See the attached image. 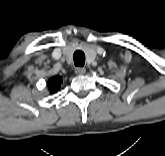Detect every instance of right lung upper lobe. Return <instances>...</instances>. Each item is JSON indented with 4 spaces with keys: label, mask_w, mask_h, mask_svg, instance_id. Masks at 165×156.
Here are the masks:
<instances>
[{
    "label": "right lung upper lobe",
    "mask_w": 165,
    "mask_h": 156,
    "mask_svg": "<svg viewBox=\"0 0 165 156\" xmlns=\"http://www.w3.org/2000/svg\"><path fill=\"white\" fill-rule=\"evenodd\" d=\"M62 83V78L60 76L52 77L48 82V88L51 93H56Z\"/></svg>",
    "instance_id": "1"
}]
</instances>
